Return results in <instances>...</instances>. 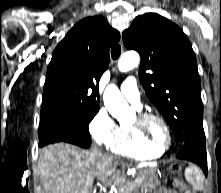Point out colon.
Here are the masks:
<instances>
[{
    "mask_svg": "<svg viewBox=\"0 0 221 193\" xmlns=\"http://www.w3.org/2000/svg\"><path fill=\"white\" fill-rule=\"evenodd\" d=\"M171 174L173 177L174 184L182 191V193H195L193 190L188 188L181 179L182 169L178 165H174L171 168Z\"/></svg>",
    "mask_w": 221,
    "mask_h": 193,
    "instance_id": "colon-1",
    "label": "colon"
}]
</instances>
